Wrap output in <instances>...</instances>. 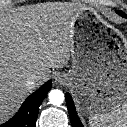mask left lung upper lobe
Here are the masks:
<instances>
[{"mask_svg": "<svg viewBox=\"0 0 127 127\" xmlns=\"http://www.w3.org/2000/svg\"><path fill=\"white\" fill-rule=\"evenodd\" d=\"M117 13H118L119 15H121L122 17L127 18V15H126V14H124L123 12H121V11H117Z\"/></svg>", "mask_w": 127, "mask_h": 127, "instance_id": "5c2ea615", "label": "left lung upper lobe"}]
</instances>
